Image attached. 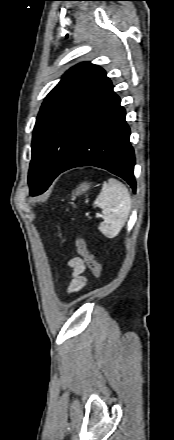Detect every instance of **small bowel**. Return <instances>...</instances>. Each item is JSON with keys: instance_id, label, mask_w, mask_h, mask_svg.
<instances>
[{"instance_id": "obj_1", "label": "small bowel", "mask_w": 174, "mask_h": 440, "mask_svg": "<svg viewBox=\"0 0 174 440\" xmlns=\"http://www.w3.org/2000/svg\"><path fill=\"white\" fill-rule=\"evenodd\" d=\"M68 266L72 269L70 276L68 292L76 293L80 291L87 283L86 277L83 275L85 264L82 258L73 257L68 261Z\"/></svg>"}]
</instances>
